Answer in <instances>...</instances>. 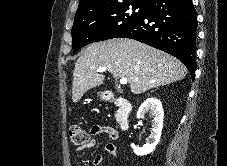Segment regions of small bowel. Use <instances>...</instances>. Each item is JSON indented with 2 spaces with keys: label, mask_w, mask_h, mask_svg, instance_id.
<instances>
[{
  "label": "small bowel",
  "mask_w": 227,
  "mask_h": 166,
  "mask_svg": "<svg viewBox=\"0 0 227 166\" xmlns=\"http://www.w3.org/2000/svg\"><path fill=\"white\" fill-rule=\"evenodd\" d=\"M90 133L92 136H99L102 134H106L108 137H110L111 139H115L117 137V133L114 129H112L109 126H104V125H93L90 128ZM96 145V140L95 139H91L90 143L84 147H79L77 149V152L82 151L85 148H93ZM104 154H108V155H112L115 158H119V150L117 148V146L113 143H107L102 152L97 154L96 156L93 157V159L89 162L88 166H99L103 160V155Z\"/></svg>",
  "instance_id": "small-bowel-1"
}]
</instances>
